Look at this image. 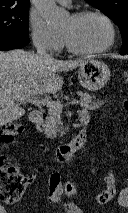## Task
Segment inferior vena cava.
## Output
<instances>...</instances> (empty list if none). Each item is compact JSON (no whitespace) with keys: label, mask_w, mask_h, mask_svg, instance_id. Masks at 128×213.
<instances>
[{"label":"inferior vena cava","mask_w":128,"mask_h":213,"mask_svg":"<svg viewBox=\"0 0 128 213\" xmlns=\"http://www.w3.org/2000/svg\"><path fill=\"white\" fill-rule=\"evenodd\" d=\"M37 48V54L41 59H44L46 61L51 60V56L47 53L46 44L43 42L36 43Z\"/></svg>","instance_id":"602c4592"}]
</instances>
